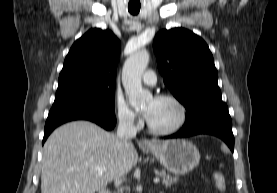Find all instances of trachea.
Masks as SVG:
<instances>
[{
    "label": "trachea",
    "mask_w": 277,
    "mask_h": 193,
    "mask_svg": "<svg viewBox=\"0 0 277 193\" xmlns=\"http://www.w3.org/2000/svg\"><path fill=\"white\" fill-rule=\"evenodd\" d=\"M128 11L132 14V15H137L140 11V6H129L128 5Z\"/></svg>",
    "instance_id": "obj_1"
}]
</instances>
